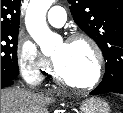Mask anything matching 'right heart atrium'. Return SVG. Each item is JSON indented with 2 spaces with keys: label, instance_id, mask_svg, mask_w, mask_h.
Instances as JSON below:
<instances>
[{
  "label": "right heart atrium",
  "instance_id": "d8ad5b80",
  "mask_svg": "<svg viewBox=\"0 0 123 113\" xmlns=\"http://www.w3.org/2000/svg\"><path fill=\"white\" fill-rule=\"evenodd\" d=\"M16 60L20 74L30 85H39L51 70V63L27 37L17 41Z\"/></svg>",
  "mask_w": 123,
  "mask_h": 113
}]
</instances>
